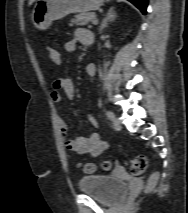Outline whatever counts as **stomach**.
<instances>
[{
	"label": "stomach",
	"instance_id": "stomach-1",
	"mask_svg": "<svg viewBox=\"0 0 188 213\" xmlns=\"http://www.w3.org/2000/svg\"><path fill=\"white\" fill-rule=\"evenodd\" d=\"M103 0H37L31 19L38 30H45L55 20L71 13H87L97 10Z\"/></svg>",
	"mask_w": 188,
	"mask_h": 213
}]
</instances>
